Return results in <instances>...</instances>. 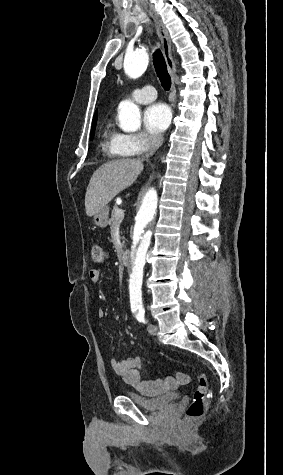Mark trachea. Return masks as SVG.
Wrapping results in <instances>:
<instances>
[{
  "label": "trachea",
  "instance_id": "obj_1",
  "mask_svg": "<svg viewBox=\"0 0 283 475\" xmlns=\"http://www.w3.org/2000/svg\"><path fill=\"white\" fill-rule=\"evenodd\" d=\"M153 64L162 87L164 90H169L171 87V78L167 70L164 56L159 49L155 50L153 53Z\"/></svg>",
  "mask_w": 283,
  "mask_h": 475
}]
</instances>
